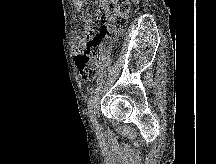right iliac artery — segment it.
Here are the masks:
<instances>
[{
	"label": "right iliac artery",
	"mask_w": 216,
	"mask_h": 164,
	"mask_svg": "<svg viewBox=\"0 0 216 164\" xmlns=\"http://www.w3.org/2000/svg\"><path fill=\"white\" fill-rule=\"evenodd\" d=\"M92 98H93V96H91V98L88 101L89 115H90V119H91L93 125L98 130V123H97L96 117H95L94 101Z\"/></svg>",
	"instance_id": "1"
}]
</instances>
